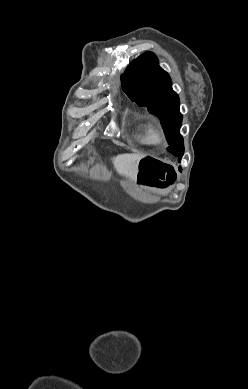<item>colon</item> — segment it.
I'll return each instance as SVG.
<instances>
[{"label": "colon", "instance_id": "5ec220e1", "mask_svg": "<svg viewBox=\"0 0 248 389\" xmlns=\"http://www.w3.org/2000/svg\"><path fill=\"white\" fill-rule=\"evenodd\" d=\"M140 182L144 185L165 189L175 181V172L169 161H159L158 157H140Z\"/></svg>", "mask_w": 248, "mask_h": 389}]
</instances>
